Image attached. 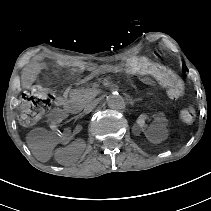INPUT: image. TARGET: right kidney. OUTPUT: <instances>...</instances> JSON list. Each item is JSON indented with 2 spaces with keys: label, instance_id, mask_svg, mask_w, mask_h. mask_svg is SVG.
<instances>
[{
  "label": "right kidney",
  "instance_id": "1",
  "mask_svg": "<svg viewBox=\"0 0 211 211\" xmlns=\"http://www.w3.org/2000/svg\"><path fill=\"white\" fill-rule=\"evenodd\" d=\"M66 123V116L59 112H53L48 117L47 126L56 138L62 139L65 143H70L73 140V135L70 132H66L62 127L66 125Z\"/></svg>",
  "mask_w": 211,
  "mask_h": 211
}]
</instances>
